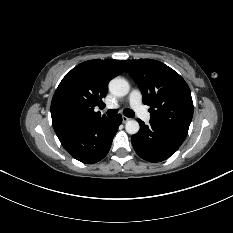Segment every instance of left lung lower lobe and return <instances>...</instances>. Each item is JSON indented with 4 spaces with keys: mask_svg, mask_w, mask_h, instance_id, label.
<instances>
[{
    "mask_svg": "<svg viewBox=\"0 0 233 233\" xmlns=\"http://www.w3.org/2000/svg\"><path fill=\"white\" fill-rule=\"evenodd\" d=\"M140 132L132 137L133 147L142 159L160 162L168 159L183 143L187 132L150 120L149 125L138 119Z\"/></svg>",
    "mask_w": 233,
    "mask_h": 233,
    "instance_id": "0a47b994",
    "label": "left lung lower lobe"
}]
</instances>
